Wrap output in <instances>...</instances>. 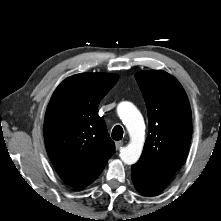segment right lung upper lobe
<instances>
[{
	"label": "right lung upper lobe",
	"instance_id": "1",
	"mask_svg": "<svg viewBox=\"0 0 221 221\" xmlns=\"http://www.w3.org/2000/svg\"><path fill=\"white\" fill-rule=\"evenodd\" d=\"M118 78L110 73L73 75L49 102L44 122L47 153L59 176L73 187L92 183L115 153L97 107Z\"/></svg>",
	"mask_w": 221,
	"mask_h": 221
}]
</instances>
